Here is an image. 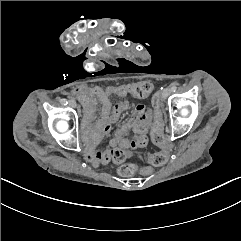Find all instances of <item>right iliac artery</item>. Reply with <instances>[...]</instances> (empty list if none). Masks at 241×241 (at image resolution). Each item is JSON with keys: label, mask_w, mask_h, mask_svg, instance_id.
Instances as JSON below:
<instances>
[{"label": "right iliac artery", "mask_w": 241, "mask_h": 241, "mask_svg": "<svg viewBox=\"0 0 241 241\" xmlns=\"http://www.w3.org/2000/svg\"><path fill=\"white\" fill-rule=\"evenodd\" d=\"M60 102L64 105H66L68 103L66 99H62Z\"/></svg>", "instance_id": "right-iliac-artery-1"}]
</instances>
